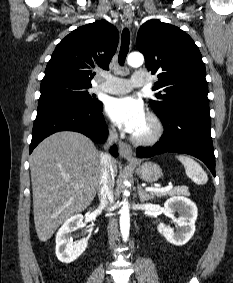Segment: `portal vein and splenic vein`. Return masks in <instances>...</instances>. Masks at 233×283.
I'll return each instance as SVG.
<instances>
[{
  "label": "portal vein and splenic vein",
  "instance_id": "obj_1",
  "mask_svg": "<svg viewBox=\"0 0 233 283\" xmlns=\"http://www.w3.org/2000/svg\"><path fill=\"white\" fill-rule=\"evenodd\" d=\"M77 188H80L81 186L80 185H76ZM173 188L172 184H169L168 186L166 187H147L145 188V190L147 192H166V191H169Z\"/></svg>",
  "mask_w": 233,
  "mask_h": 283
}]
</instances>
